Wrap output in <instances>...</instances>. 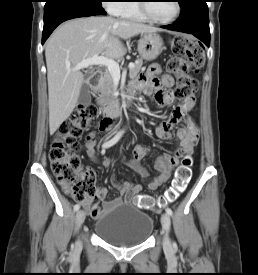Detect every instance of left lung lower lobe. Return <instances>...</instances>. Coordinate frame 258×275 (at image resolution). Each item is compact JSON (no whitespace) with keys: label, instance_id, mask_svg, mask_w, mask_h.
<instances>
[{"label":"left lung lower lobe","instance_id":"left-lung-lower-lobe-1","mask_svg":"<svg viewBox=\"0 0 258 275\" xmlns=\"http://www.w3.org/2000/svg\"><path fill=\"white\" fill-rule=\"evenodd\" d=\"M207 0H187L181 6L179 21L163 26L165 29L190 33L210 46V30ZM203 47V45L201 44Z\"/></svg>","mask_w":258,"mask_h":275}]
</instances>
